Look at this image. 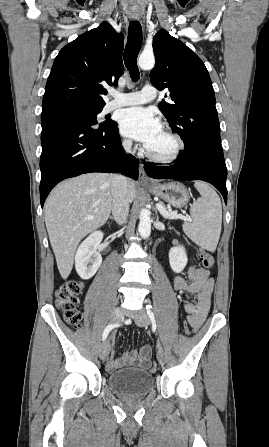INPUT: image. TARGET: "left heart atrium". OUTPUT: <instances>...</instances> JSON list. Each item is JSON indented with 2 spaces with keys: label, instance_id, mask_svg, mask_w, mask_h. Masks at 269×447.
I'll list each match as a JSON object with an SVG mask.
<instances>
[{
  "label": "left heart atrium",
  "instance_id": "left-heart-atrium-1",
  "mask_svg": "<svg viewBox=\"0 0 269 447\" xmlns=\"http://www.w3.org/2000/svg\"><path fill=\"white\" fill-rule=\"evenodd\" d=\"M120 130L125 136L147 145L162 129L158 115L146 108H129L120 113Z\"/></svg>",
  "mask_w": 269,
  "mask_h": 447
}]
</instances>
